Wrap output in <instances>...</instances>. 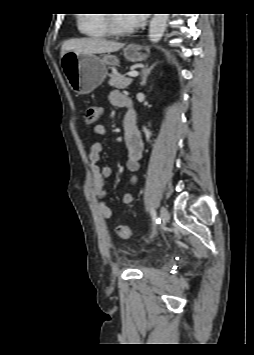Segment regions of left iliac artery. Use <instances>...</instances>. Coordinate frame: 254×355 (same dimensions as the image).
I'll list each match as a JSON object with an SVG mask.
<instances>
[{"mask_svg":"<svg viewBox=\"0 0 254 355\" xmlns=\"http://www.w3.org/2000/svg\"><path fill=\"white\" fill-rule=\"evenodd\" d=\"M151 216H152V219H153V221H154V228H153V233H152V235H151V237L155 234V226H156V224H158V223H160V219H158L157 217H156V212H155V210L153 209V208H151Z\"/></svg>","mask_w":254,"mask_h":355,"instance_id":"44dca946","label":"left iliac artery"}]
</instances>
